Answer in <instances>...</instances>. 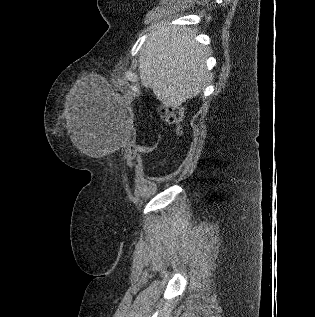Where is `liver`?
<instances>
[{"label":"liver","mask_w":315,"mask_h":317,"mask_svg":"<svg viewBox=\"0 0 315 317\" xmlns=\"http://www.w3.org/2000/svg\"><path fill=\"white\" fill-rule=\"evenodd\" d=\"M194 36L191 28L160 24L152 29V35L141 49V84L151 88L167 107L177 108L195 97L208 78L205 61L210 49L196 43ZM68 110V134L78 149L89 153L79 109L73 103Z\"/></svg>","instance_id":"obj_1"}]
</instances>
